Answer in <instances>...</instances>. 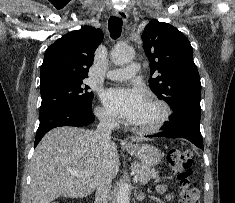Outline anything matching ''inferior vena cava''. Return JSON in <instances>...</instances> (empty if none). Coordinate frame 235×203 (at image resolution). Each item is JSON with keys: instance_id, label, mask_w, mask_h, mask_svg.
Instances as JSON below:
<instances>
[{"instance_id": "obj_1", "label": "inferior vena cava", "mask_w": 235, "mask_h": 203, "mask_svg": "<svg viewBox=\"0 0 235 203\" xmlns=\"http://www.w3.org/2000/svg\"><path fill=\"white\" fill-rule=\"evenodd\" d=\"M100 123L97 126L95 134L103 142L111 140V132L115 127V117L109 114L99 115ZM111 179L104 177L100 180L96 188L95 203H108L111 191Z\"/></svg>"}]
</instances>
